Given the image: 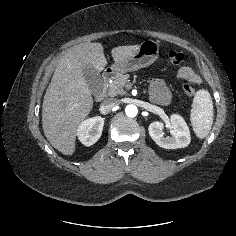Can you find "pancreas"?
<instances>
[{"instance_id": "obj_1", "label": "pancreas", "mask_w": 236, "mask_h": 236, "mask_svg": "<svg viewBox=\"0 0 236 236\" xmlns=\"http://www.w3.org/2000/svg\"><path fill=\"white\" fill-rule=\"evenodd\" d=\"M129 74H120L116 76L113 82L109 85L108 94L110 96H122L126 94V89L131 87Z\"/></svg>"}]
</instances>
